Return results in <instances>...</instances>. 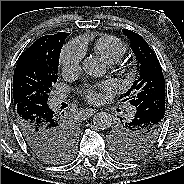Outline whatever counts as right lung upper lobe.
<instances>
[{"label": "right lung upper lobe", "mask_w": 184, "mask_h": 184, "mask_svg": "<svg viewBox=\"0 0 184 184\" xmlns=\"http://www.w3.org/2000/svg\"><path fill=\"white\" fill-rule=\"evenodd\" d=\"M70 33L59 32L54 35H45L37 39L25 52H23L18 60H21L27 56H47L52 48V45L56 40H62L64 43V39Z\"/></svg>", "instance_id": "right-lung-upper-lobe-1"}]
</instances>
